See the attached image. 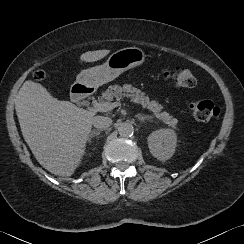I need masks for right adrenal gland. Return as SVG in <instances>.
Wrapping results in <instances>:
<instances>
[{"label": "right adrenal gland", "instance_id": "right-adrenal-gland-1", "mask_svg": "<svg viewBox=\"0 0 244 244\" xmlns=\"http://www.w3.org/2000/svg\"><path fill=\"white\" fill-rule=\"evenodd\" d=\"M102 130L98 129V130H93L90 134V137H94L95 135L98 136L101 133ZM91 138L89 139V143H91Z\"/></svg>", "mask_w": 244, "mask_h": 244}]
</instances>
